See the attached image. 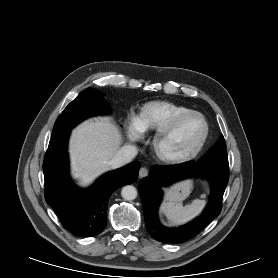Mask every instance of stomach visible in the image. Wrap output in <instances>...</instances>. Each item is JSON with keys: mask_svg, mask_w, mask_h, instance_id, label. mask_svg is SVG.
<instances>
[{"mask_svg": "<svg viewBox=\"0 0 278 278\" xmlns=\"http://www.w3.org/2000/svg\"><path fill=\"white\" fill-rule=\"evenodd\" d=\"M191 188L192 183L190 181L182 182L167 192V199L171 202L179 203L189 195Z\"/></svg>", "mask_w": 278, "mask_h": 278, "instance_id": "1", "label": "stomach"}]
</instances>
